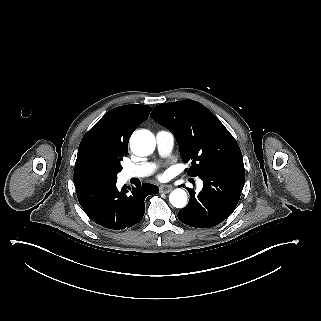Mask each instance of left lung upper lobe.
I'll use <instances>...</instances> for the list:
<instances>
[{
	"instance_id": "obj_1",
	"label": "left lung upper lobe",
	"mask_w": 321,
	"mask_h": 321,
	"mask_svg": "<svg viewBox=\"0 0 321 321\" xmlns=\"http://www.w3.org/2000/svg\"><path fill=\"white\" fill-rule=\"evenodd\" d=\"M151 116L173 133L183 161L191 164L187 171L191 176L219 163L243 160L234 137L197 101L161 104L154 108Z\"/></svg>"
}]
</instances>
